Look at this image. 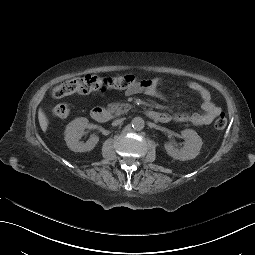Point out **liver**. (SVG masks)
I'll return each instance as SVG.
<instances>
[{
  "label": "liver",
  "instance_id": "obj_1",
  "mask_svg": "<svg viewBox=\"0 0 255 255\" xmlns=\"http://www.w3.org/2000/svg\"><path fill=\"white\" fill-rule=\"evenodd\" d=\"M38 119L42 131L46 132L48 127V119L46 118V115L44 114L41 108L38 111Z\"/></svg>",
  "mask_w": 255,
  "mask_h": 255
}]
</instances>
